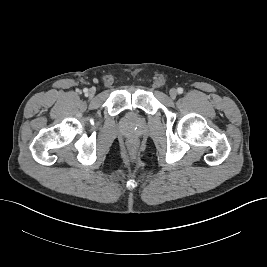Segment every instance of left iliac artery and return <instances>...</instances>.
Returning <instances> with one entry per match:
<instances>
[{
  "label": "left iliac artery",
  "instance_id": "obj_1",
  "mask_svg": "<svg viewBox=\"0 0 267 267\" xmlns=\"http://www.w3.org/2000/svg\"><path fill=\"white\" fill-rule=\"evenodd\" d=\"M177 92H178L179 94H182V93H183V88H181V87L178 88V89H177Z\"/></svg>",
  "mask_w": 267,
  "mask_h": 267
}]
</instances>
